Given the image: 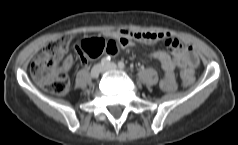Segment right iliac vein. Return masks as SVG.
<instances>
[{
    "instance_id": "63e3f726",
    "label": "right iliac vein",
    "mask_w": 238,
    "mask_h": 145,
    "mask_svg": "<svg viewBox=\"0 0 238 145\" xmlns=\"http://www.w3.org/2000/svg\"><path fill=\"white\" fill-rule=\"evenodd\" d=\"M103 71V67L101 64H96L91 69L90 75L92 78H97L99 74Z\"/></svg>"
}]
</instances>
